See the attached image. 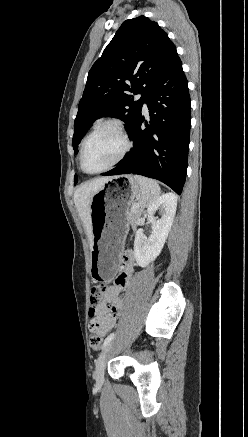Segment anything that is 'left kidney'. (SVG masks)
<instances>
[{
    "label": "left kidney",
    "instance_id": "left-kidney-1",
    "mask_svg": "<svg viewBox=\"0 0 248 437\" xmlns=\"http://www.w3.org/2000/svg\"><path fill=\"white\" fill-rule=\"evenodd\" d=\"M177 197L167 193L158 197L147 208L148 221L152 227V234L147 238L143 230L139 229L135 235L134 253L139 266L146 267L160 254L168 234L171 230L176 213ZM159 210L161 218L155 219L154 213Z\"/></svg>",
    "mask_w": 248,
    "mask_h": 437
}]
</instances>
